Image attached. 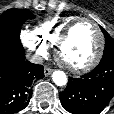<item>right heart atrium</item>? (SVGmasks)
I'll return each instance as SVG.
<instances>
[{
	"mask_svg": "<svg viewBox=\"0 0 114 114\" xmlns=\"http://www.w3.org/2000/svg\"><path fill=\"white\" fill-rule=\"evenodd\" d=\"M22 44L34 53L37 59H42L48 54V48L39 42L33 32L23 30L20 34Z\"/></svg>",
	"mask_w": 114,
	"mask_h": 114,
	"instance_id": "1",
	"label": "right heart atrium"
}]
</instances>
